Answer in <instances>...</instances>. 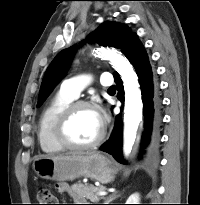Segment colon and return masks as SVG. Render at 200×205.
<instances>
[{"mask_svg": "<svg viewBox=\"0 0 200 205\" xmlns=\"http://www.w3.org/2000/svg\"><path fill=\"white\" fill-rule=\"evenodd\" d=\"M36 197L39 202L38 205H56V198L50 189L46 187H39L36 191Z\"/></svg>", "mask_w": 200, "mask_h": 205, "instance_id": "colon-1", "label": "colon"}]
</instances>
